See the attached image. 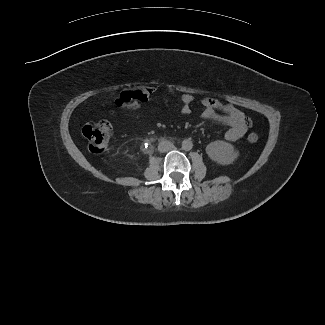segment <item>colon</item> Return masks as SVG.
Instances as JSON below:
<instances>
[{"mask_svg":"<svg viewBox=\"0 0 325 325\" xmlns=\"http://www.w3.org/2000/svg\"><path fill=\"white\" fill-rule=\"evenodd\" d=\"M128 107L134 111L143 109V105L141 104H131ZM82 134L88 141L90 150L95 153H100L104 151L109 144L112 127L111 124L105 120L92 122L83 127ZM258 139L259 136L256 133H250L247 137L250 143H255Z\"/></svg>","mask_w":325,"mask_h":325,"instance_id":"5ec220e1","label":"colon"}]
</instances>
